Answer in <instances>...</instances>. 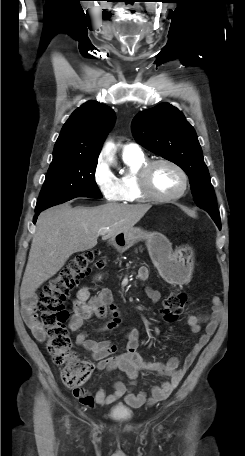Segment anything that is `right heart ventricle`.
<instances>
[{
  "instance_id": "obj_1",
  "label": "right heart ventricle",
  "mask_w": 245,
  "mask_h": 456,
  "mask_svg": "<svg viewBox=\"0 0 245 456\" xmlns=\"http://www.w3.org/2000/svg\"><path fill=\"white\" fill-rule=\"evenodd\" d=\"M123 160L129 171L127 174L118 178L121 189L120 201L124 203L140 202L145 199L142 195L137 182V172L140 167L148 160L143 153L140 154H124Z\"/></svg>"
}]
</instances>
